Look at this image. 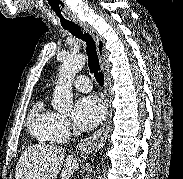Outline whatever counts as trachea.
Returning a JSON list of instances; mask_svg holds the SVG:
<instances>
[{
    "instance_id": "trachea-1",
    "label": "trachea",
    "mask_w": 183,
    "mask_h": 179,
    "mask_svg": "<svg viewBox=\"0 0 183 179\" xmlns=\"http://www.w3.org/2000/svg\"><path fill=\"white\" fill-rule=\"evenodd\" d=\"M57 14L60 17L62 27L64 29L69 30V32L73 36H76L77 38L81 39L82 41H84L86 43V52L88 55V66H89L90 72L94 75L97 83L100 86H103L104 75L101 72L99 58L97 55L96 45H95L93 37L89 33L84 34L82 32L81 27L78 26L77 24L63 19L60 13H57Z\"/></svg>"
}]
</instances>
